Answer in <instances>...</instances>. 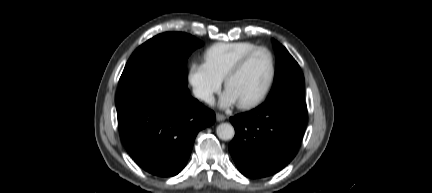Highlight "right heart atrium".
<instances>
[{
    "instance_id": "d8ad5b80",
    "label": "right heart atrium",
    "mask_w": 432,
    "mask_h": 193,
    "mask_svg": "<svg viewBox=\"0 0 432 193\" xmlns=\"http://www.w3.org/2000/svg\"><path fill=\"white\" fill-rule=\"evenodd\" d=\"M188 81L195 96L207 103L213 101L222 85V80L209 69L206 62H193L190 65Z\"/></svg>"
}]
</instances>
